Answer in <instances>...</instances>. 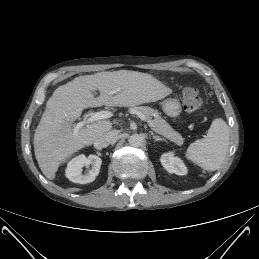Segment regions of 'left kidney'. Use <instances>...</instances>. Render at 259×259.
Masks as SVG:
<instances>
[{"label":"left kidney","instance_id":"1","mask_svg":"<svg viewBox=\"0 0 259 259\" xmlns=\"http://www.w3.org/2000/svg\"><path fill=\"white\" fill-rule=\"evenodd\" d=\"M162 166L169 172L175 173L176 175H186L187 168L178 157H174L172 152L165 153L161 156Z\"/></svg>","mask_w":259,"mask_h":259}]
</instances>
